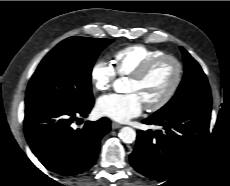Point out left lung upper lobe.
<instances>
[{
    "mask_svg": "<svg viewBox=\"0 0 230 186\" xmlns=\"http://www.w3.org/2000/svg\"><path fill=\"white\" fill-rule=\"evenodd\" d=\"M184 59V77L173 98L153 115L172 114L192 107H210L211 92L205 73L190 54L181 47Z\"/></svg>",
    "mask_w": 230,
    "mask_h": 186,
    "instance_id": "obj_1",
    "label": "left lung upper lobe"
}]
</instances>
